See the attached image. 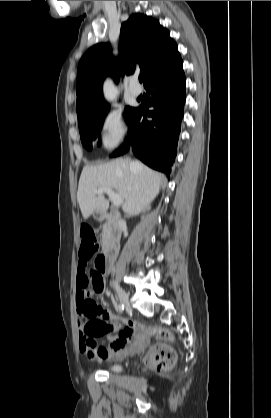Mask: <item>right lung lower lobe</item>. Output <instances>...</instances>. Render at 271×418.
<instances>
[{"label": "right lung lower lobe", "mask_w": 271, "mask_h": 418, "mask_svg": "<svg viewBox=\"0 0 271 418\" xmlns=\"http://www.w3.org/2000/svg\"><path fill=\"white\" fill-rule=\"evenodd\" d=\"M180 59L171 67L151 79L145 87L151 94L150 106L146 112L138 107L128 122L129 139L112 156L125 154L130 145L140 160L169 177L171 163L177 153L180 124L185 104V75ZM147 117L152 120L148 121Z\"/></svg>", "instance_id": "1"}]
</instances>
